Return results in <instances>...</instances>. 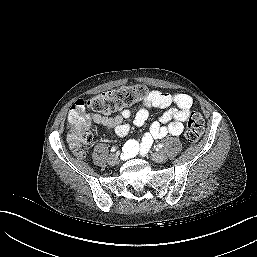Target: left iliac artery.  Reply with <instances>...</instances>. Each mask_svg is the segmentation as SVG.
Listing matches in <instances>:
<instances>
[{"label": "left iliac artery", "mask_w": 257, "mask_h": 257, "mask_svg": "<svg viewBox=\"0 0 257 257\" xmlns=\"http://www.w3.org/2000/svg\"><path fill=\"white\" fill-rule=\"evenodd\" d=\"M157 148V149H161V148H163L164 146H163V144H158L157 146H154V148Z\"/></svg>", "instance_id": "left-iliac-artery-1"}]
</instances>
